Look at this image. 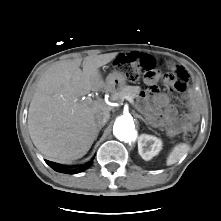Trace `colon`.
<instances>
[{
  "instance_id": "colon-1",
  "label": "colon",
  "mask_w": 221,
  "mask_h": 221,
  "mask_svg": "<svg viewBox=\"0 0 221 221\" xmlns=\"http://www.w3.org/2000/svg\"><path fill=\"white\" fill-rule=\"evenodd\" d=\"M115 65L128 80L133 82L141 78L152 80L157 76V60L146 54L139 57H132L130 54L120 55L116 58ZM164 81L171 90L178 92L185 91L188 86V80L178 78L173 73L165 74ZM196 131L195 126L187 127L183 133L184 140H192L196 135Z\"/></svg>"
}]
</instances>
